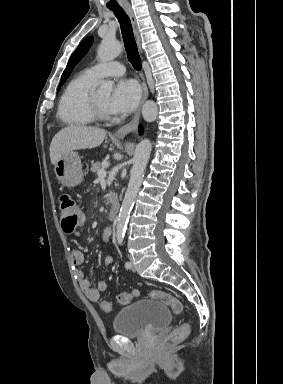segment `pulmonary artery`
<instances>
[{
    "label": "pulmonary artery",
    "instance_id": "obj_1",
    "mask_svg": "<svg viewBox=\"0 0 283 384\" xmlns=\"http://www.w3.org/2000/svg\"><path fill=\"white\" fill-rule=\"evenodd\" d=\"M89 77L98 81L105 76H120L125 68L117 62H99L85 71Z\"/></svg>",
    "mask_w": 283,
    "mask_h": 384
}]
</instances>
